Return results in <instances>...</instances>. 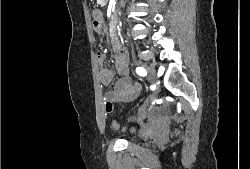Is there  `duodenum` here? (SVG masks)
Here are the masks:
<instances>
[{"label":"duodenum","instance_id":"duodenum-1","mask_svg":"<svg viewBox=\"0 0 250 169\" xmlns=\"http://www.w3.org/2000/svg\"><path fill=\"white\" fill-rule=\"evenodd\" d=\"M110 37H111V39H112V42H113V43H116V30H115V27H113V28L111 29Z\"/></svg>","mask_w":250,"mask_h":169}]
</instances>
